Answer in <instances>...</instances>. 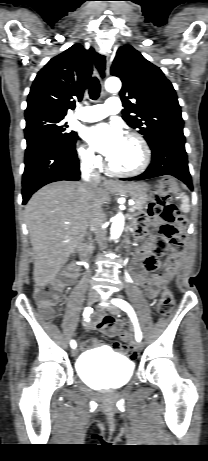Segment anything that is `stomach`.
Returning a JSON list of instances; mask_svg holds the SVG:
<instances>
[{
	"label": "stomach",
	"instance_id": "stomach-1",
	"mask_svg": "<svg viewBox=\"0 0 208 461\" xmlns=\"http://www.w3.org/2000/svg\"><path fill=\"white\" fill-rule=\"evenodd\" d=\"M115 193L130 195L133 199H139L147 196L149 185L145 182H129L117 184L111 190Z\"/></svg>",
	"mask_w": 208,
	"mask_h": 461
}]
</instances>
